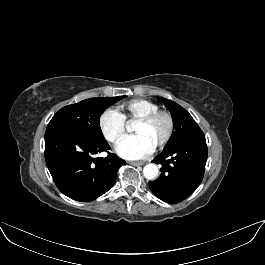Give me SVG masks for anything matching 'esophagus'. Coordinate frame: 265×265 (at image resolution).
Returning a JSON list of instances; mask_svg holds the SVG:
<instances>
[{
    "mask_svg": "<svg viewBox=\"0 0 265 265\" xmlns=\"http://www.w3.org/2000/svg\"><path fill=\"white\" fill-rule=\"evenodd\" d=\"M130 164L133 166H142L144 165V162L143 161H132L130 162Z\"/></svg>",
    "mask_w": 265,
    "mask_h": 265,
    "instance_id": "1",
    "label": "esophagus"
}]
</instances>
